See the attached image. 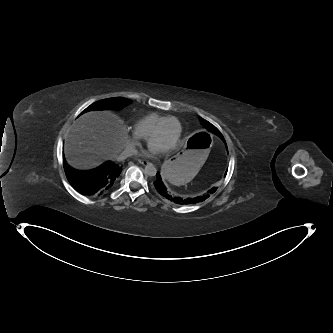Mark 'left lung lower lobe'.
Here are the masks:
<instances>
[{
  "label": "left lung lower lobe",
  "instance_id": "obj_1",
  "mask_svg": "<svg viewBox=\"0 0 333 333\" xmlns=\"http://www.w3.org/2000/svg\"><path fill=\"white\" fill-rule=\"evenodd\" d=\"M224 142V138L223 136H219ZM156 180L154 182V186L156 188V190L160 193L161 196H163L164 198L170 200L171 202H174L175 204H182V205H188V204H195L197 202H202L205 199H207L209 197V195H203V196H198L195 198H181V197H177L174 194H172L164 185L161 176L159 173L156 174ZM215 188H213L212 190H210V192H214Z\"/></svg>",
  "mask_w": 333,
  "mask_h": 333
}]
</instances>
